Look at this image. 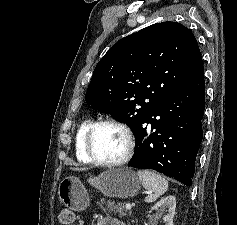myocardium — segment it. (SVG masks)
Masks as SVG:
<instances>
[{
    "instance_id": "1",
    "label": "myocardium",
    "mask_w": 237,
    "mask_h": 225,
    "mask_svg": "<svg viewBox=\"0 0 237 225\" xmlns=\"http://www.w3.org/2000/svg\"><path fill=\"white\" fill-rule=\"evenodd\" d=\"M101 125H112L117 127L118 129H120L125 138H126V150L125 153L123 154V156L117 160H113V161H105L102 159H99L94 151H93V147H92V141H93V136L94 133L96 131V129L101 126ZM85 152L87 154V156L90 158V160L97 164V165H101V166H105V167H118L121 165H124L125 163H127L129 161V159L132 157L133 152H134V148H135V140H134V136L133 133L131 131V129L124 123L113 119V118H102L99 119L95 122H93L89 129L86 132L85 135Z\"/></svg>"
}]
</instances>
